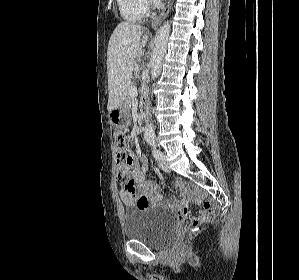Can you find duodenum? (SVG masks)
I'll list each match as a JSON object with an SVG mask.
<instances>
[{
    "mask_svg": "<svg viewBox=\"0 0 299 280\" xmlns=\"http://www.w3.org/2000/svg\"><path fill=\"white\" fill-rule=\"evenodd\" d=\"M141 114L143 120L147 122L149 118V114H148V105L145 100L141 102Z\"/></svg>",
    "mask_w": 299,
    "mask_h": 280,
    "instance_id": "1",
    "label": "duodenum"
}]
</instances>
